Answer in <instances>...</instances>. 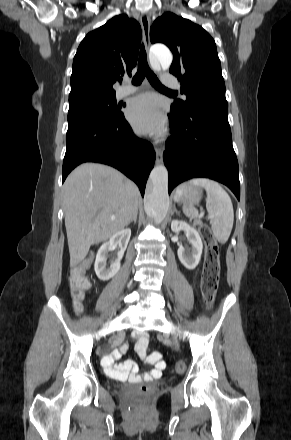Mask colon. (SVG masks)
<instances>
[{
    "mask_svg": "<svg viewBox=\"0 0 291 440\" xmlns=\"http://www.w3.org/2000/svg\"><path fill=\"white\" fill-rule=\"evenodd\" d=\"M202 239L205 243V260L204 269L201 279V290L208 307L211 306L212 301L219 285V275H220V261H219V245L217 240L214 238L210 229L202 224L199 228ZM88 260L84 259L81 261L79 266L72 272L70 278L71 291L74 297L80 301L84 298L86 291L89 288L88 280L84 274L87 266ZM151 357L153 359H159V353H152ZM133 403L135 406H142L145 404V396L142 393H138L133 398Z\"/></svg>",
    "mask_w": 291,
    "mask_h": 440,
    "instance_id": "obj_1",
    "label": "colon"
}]
</instances>
